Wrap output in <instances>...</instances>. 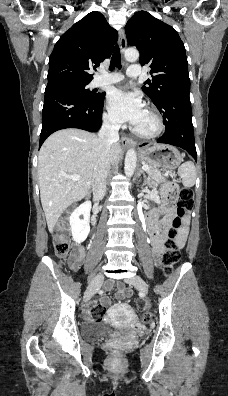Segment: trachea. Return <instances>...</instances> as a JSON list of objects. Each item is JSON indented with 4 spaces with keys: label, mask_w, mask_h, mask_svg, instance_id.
I'll use <instances>...</instances> for the list:
<instances>
[{
    "label": "trachea",
    "mask_w": 228,
    "mask_h": 396,
    "mask_svg": "<svg viewBox=\"0 0 228 396\" xmlns=\"http://www.w3.org/2000/svg\"><path fill=\"white\" fill-rule=\"evenodd\" d=\"M115 67L121 68V55H120V49L116 45L114 47L113 55L111 58V63H110V70L114 69Z\"/></svg>",
    "instance_id": "3493384b"
}]
</instances>
